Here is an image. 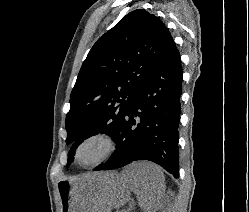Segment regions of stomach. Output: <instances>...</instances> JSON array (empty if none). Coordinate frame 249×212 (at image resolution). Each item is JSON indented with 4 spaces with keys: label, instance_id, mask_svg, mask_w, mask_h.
Segmentation results:
<instances>
[{
    "label": "stomach",
    "instance_id": "obj_1",
    "mask_svg": "<svg viewBox=\"0 0 249 212\" xmlns=\"http://www.w3.org/2000/svg\"><path fill=\"white\" fill-rule=\"evenodd\" d=\"M58 192L61 212H109L126 204L131 184H121L115 170H90L88 175H73V180H60Z\"/></svg>",
    "mask_w": 249,
    "mask_h": 212
}]
</instances>
